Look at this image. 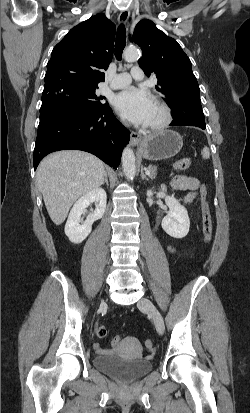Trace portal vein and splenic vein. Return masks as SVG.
Wrapping results in <instances>:
<instances>
[{
  "label": "portal vein and splenic vein",
  "instance_id": "obj_1",
  "mask_svg": "<svg viewBox=\"0 0 250 413\" xmlns=\"http://www.w3.org/2000/svg\"><path fill=\"white\" fill-rule=\"evenodd\" d=\"M145 170H146V173L149 175V174H150V171H149V170H147L146 168H145Z\"/></svg>",
  "mask_w": 250,
  "mask_h": 413
}]
</instances>
